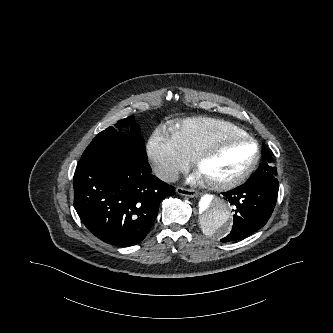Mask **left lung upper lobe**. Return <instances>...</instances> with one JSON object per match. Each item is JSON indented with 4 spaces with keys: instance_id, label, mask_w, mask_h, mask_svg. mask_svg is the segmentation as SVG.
<instances>
[{
    "instance_id": "obj_1",
    "label": "left lung upper lobe",
    "mask_w": 333,
    "mask_h": 333,
    "mask_svg": "<svg viewBox=\"0 0 333 333\" xmlns=\"http://www.w3.org/2000/svg\"><path fill=\"white\" fill-rule=\"evenodd\" d=\"M262 163L258 169L249 177L247 183H274L278 184L277 169L273 166L271 155L262 154Z\"/></svg>"
}]
</instances>
